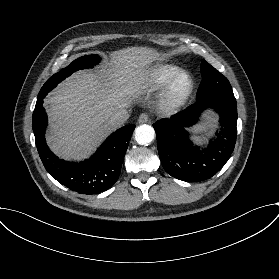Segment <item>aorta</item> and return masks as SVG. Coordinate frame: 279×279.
<instances>
[{
    "mask_svg": "<svg viewBox=\"0 0 279 279\" xmlns=\"http://www.w3.org/2000/svg\"><path fill=\"white\" fill-rule=\"evenodd\" d=\"M155 137L154 128L143 124L135 129V140L140 145H149Z\"/></svg>",
    "mask_w": 279,
    "mask_h": 279,
    "instance_id": "1",
    "label": "aorta"
}]
</instances>
